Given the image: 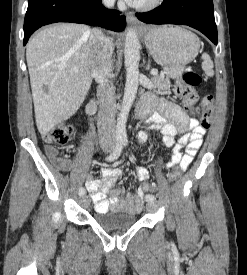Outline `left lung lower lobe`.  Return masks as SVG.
<instances>
[{"label": "left lung lower lobe", "mask_w": 247, "mask_h": 275, "mask_svg": "<svg viewBox=\"0 0 247 275\" xmlns=\"http://www.w3.org/2000/svg\"><path fill=\"white\" fill-rule=\"evenodd\" d=\"M147 24H182L193 27L217 44V27L212 0H164L154 10L136 13Z\"/></svg>", "instance_id": "obj_1"}]
</instances>
